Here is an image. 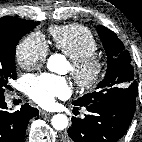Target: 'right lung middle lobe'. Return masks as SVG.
Listing matches in <instances>:
<instances>
[{"label": "right lung middle lobe", "mask_w": 142, "mask_h": 142, "mask_svg": "<svg viewBox=\"0 0 142 142\" xmlns=\"http://www.w3.org/2000/svg\"><path fill=\"white\" fill-rule=\"evenodd\" d=\"M36 26L37 22L23 21L0 29V96L11 88L9 80L16 78L14 58L19 40Z\"/></svg>", "instance_id": "dd1d6c3e"}]
</instances>
